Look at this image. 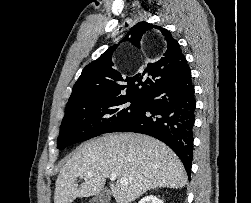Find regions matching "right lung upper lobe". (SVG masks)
I'll return each instance as SVG.
<instances>
[{
	"label": "right lung upper lobe",
	"mask_w": 251,
	"mask_h": 203,
	"mask_svg": "<svg viewBox=\"0 0 251 203\" xmlns=\"http://www.w3.org/2000/svg\"><path fill=\"white\" fill-rule=\"evenodd\" d=\"M152 27L159 30L166 43V51L160 60L148 63L145 69L128 77L112 67L111 58L117 47L112 46L83 69L67 105L113 98L144 99L152 89L180 76L188 68L187 61L180 45L168 30L141 22L130 30L131 38H128V34L123 40L140 48L142 35Z\"/></svg>",
	"instance_id": "1"
}]
</instances>
